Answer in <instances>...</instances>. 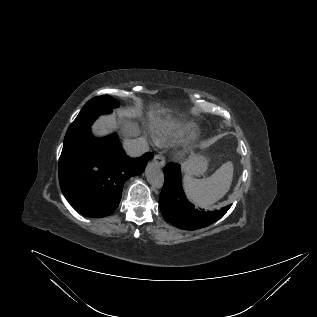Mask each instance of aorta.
<instances>
[{"label":"aorta","instance_id":"obj_1","mask_svg":"<svg viewBox=\"0 0 317 317\" xmlns=\"http://www.w3.org/2000/svg\"><path fill=\"white\" fill-rule=\"evenodd\" d=\"M145 174L148 182L154 188L160 189L164 184V173L158 162H150L146 166Z\"/></svg>","mask_w":317,"mask_h":317}]
</instances>
